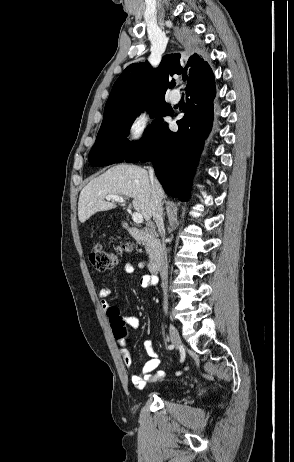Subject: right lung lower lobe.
Returning a JSON list of instances; mask_svg holds the SVG:
<instances>
[{"label": "right lung lower lobe", "instance_id": "98d812e1", "mask_svg": "<svg viewBox=\"0 0 294 462\" xmlns=\"http://www.w3.org/2000/svg\"><path fill=\"white\" fill-rule=\"evenodd\" d=\"M190 96L184 117L177 121L178 131L172 132L167 123L124 161H152L155 174L170 196L187 201L191 181L199 156L213 122V102L216 96L213 73L186 89Z\"/></svg>", "mask_w": 294, "mask_h": 462}]
</instances>
